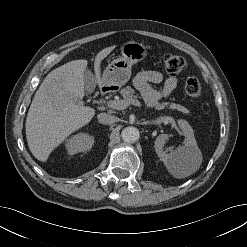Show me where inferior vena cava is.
I'll list each match as a JSON object with an SVG mask.
<instances>
[{"label":"inferior vena cava","instance_id":"inferior-vena-cava-1","mask_svg":"<svg viewBox=\"0 0 247 247\" xmlns=\"http://www.w3.org/2000/svg\"><path fill=\"white\" fill-rule=\"evenodd\" d=\"M98 121L103 124H112L117 121V117L107 114V113H100L97 115Z\"/></svg>","mask_w":247,"mask_h":247}]
</instances>
